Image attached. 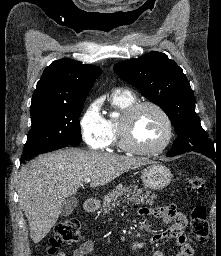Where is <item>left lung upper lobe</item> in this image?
Wrapping results in <instances>:
<instances>
[{
  "mask_svg": "<svg viewBox=\"0 0 221 256\" xmlns=\"http://www.w3.org/2000/svg\"><path fill=\"white\" fill-rule=\"evenodd\" d=\"M124 81L157 104L170 118L177 133L173 149L192 146L214 148L195 113V98L183 70L166 54L153 51L113 67Z\"/></svg>",
  "mask_w": 221,
  "mask_h": 256,
  "instance_id": "obj_1",
  "label": "left lung upper lobe"
}]
</instances>
